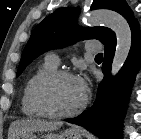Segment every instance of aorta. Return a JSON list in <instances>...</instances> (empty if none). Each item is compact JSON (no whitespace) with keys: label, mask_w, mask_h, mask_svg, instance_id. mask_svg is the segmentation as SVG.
<instances>
[{"label":"aorta","mask_w":141,"mask_h":139,"mask_svg":"<svg viewBox=\"0 0 141 139\" xmlns=\"http://www.w3.org/2000/svg\"><path fill=\"white\" fill-rule=\"evenodd\" d=\"M90 26L105 25L116 35V50L112 62L111 74L115 76L125 63L131 48L132 34L127 20L113 11H93L84 17Z\"/></svg>","instance_id":"aorta-1"}]
</instances>
